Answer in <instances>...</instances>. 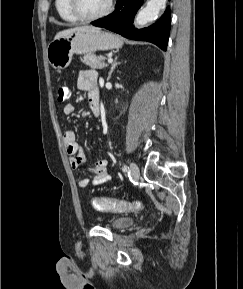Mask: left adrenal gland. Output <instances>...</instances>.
<instances>
[{
  "label": "left adrenal gland",
  "instance_id": "1",
  "mask_svg": "<svg viewBox=\"0 0 243 289\" xmlns=\"http://www.w3.org/2000/svg\"><path fill=\"white\" fill-rule=\"evenodd\" d=\"M117 59H118V57H115V60H114V62L112 64V66H111V69H110L109 73H108V79L111 78V75H112L114 69L120 64L119 62H117Z\"/></svg>",
  "mask_w": 243,
  "mask_h": 289
}]
</instances>
